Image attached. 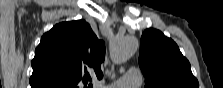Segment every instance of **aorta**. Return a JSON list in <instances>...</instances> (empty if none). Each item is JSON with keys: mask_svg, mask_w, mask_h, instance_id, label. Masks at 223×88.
I'll use <instances>...</instances> for the list:
<instances>
[{"mask_svg": "<svg viewBox=\"0 0 223 88\" xmlns=\"http://www.w3.org/2000/svg\"><path fill=\"white\" fill-rule=\"evenodd\" d=\"M138 49V40L133 36L117 39L111 48V59L115 64L127 61Z\"/></svg>", "mask_w": 223, "mask_h": 88, "instance_id": "1", "label": "aorta"}]
</instances>
